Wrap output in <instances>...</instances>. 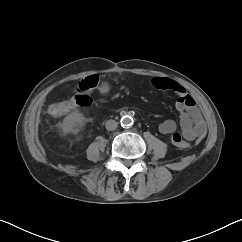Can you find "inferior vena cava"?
<instances>
[{"instance_id": "inferior-vena-cava-1", "label": "inferior vena cava", "mask_w": 242, "mask_h": 242, "mask_svg": "<svg viewBox=\"0 0 242 242\" xmlns=\"http://www.w3.org/2000/svg\"><path fill=\"white\" fill-rule=\"evenodd\" d=\"M117 126H118V123H117L115 120H113V119L108 120V121L106 122V124H105V127H106V129H107L108 131H113V130H115V129L117 128Z\"/></svg>"}]
</instances>
